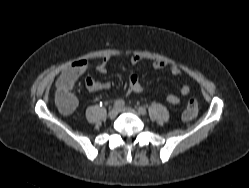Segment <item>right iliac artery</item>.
Masks as SVG:
<instances>
[{"mask_svg": "<svg viewBox=\"0 0 249 188\" xmlns=\"http://www.w3.org/2000/svg\"><path fill=\"white\" fill-rule=\"evenodd\" d=\"M124 105H125V102L123 100H116L114 102V107L115 108L123 107Z\"/></svg>", "mask_w": 249, "mask_h": 188, "instance_id": "right-iliac-artery-1", "label": "right iliac artery"}]
</instances>
